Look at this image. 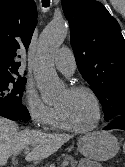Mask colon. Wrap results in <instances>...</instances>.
I'll return each instance as SVG.
<instances>
[{"instance_id": "1", "label": "colon", "mask_w": 125, "mask_h": 167, "mask_svg": "<svg viewBox=\"0 0 125 167\" xmlns=\"http://www.w3.org/2000/svg\"><path fill=\"white\" fill-rule=\"evenodd\" d=\"M123 152L125 154V143L123 144Z\"/></svg>"}]
</instances>
